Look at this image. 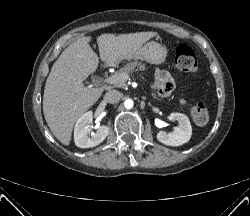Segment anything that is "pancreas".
<instances>
[{
    "label": "pancreas",
    "instance_id": "1",
    "mask_svg": "<svg viewBox=\"0 0 250 216\" xmlns=\"http://www.w3.org/2000/svg\"><path fill=\"white\" fill-rule=\"evenodd\" d=\"M138 67L139 69L145 71L147 70L146 65L145 64H141L140 62H131L126 64L124 67H122L120 70L115 72V76H119L121 74H129L132 73L134 71V69ZM115 87H122L124 88L126 86V81H120V82H116L113 84ZM154 98H157L156 95H154Z\"/></svg>",
    "mask_w": 250,
    "mask_h": 216
}]
</instances>
